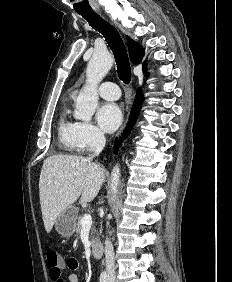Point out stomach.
Returning <instances> with one entry per match:
<instances>
[{
  "label": "stomach",
  "mask_w": 232,
  "mask_h": 282,
  "mask_svg": "<svg viewBox=\"0 0 232 282\" xmlns=\"http://www.w3.org/2000/svg\"><path fill=\"white\" fill-rule=\"evenodd\" d=\"M78 210L75 206L64 209L55 222V229L61 237H71L76 229Z\"/></svg>",
  "instance_id": "obj_1"
}]
</instances>
